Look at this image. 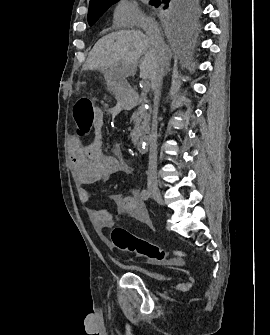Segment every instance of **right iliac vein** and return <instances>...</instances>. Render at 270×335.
I'll return each mask as SVG.
<instances>
[{
	"mask_svg": "<svg viewBox=\"0 0 270 335\" xmlns=\"http://www.w3.org/2000/svg\"><path fill=\"white\" fill-rule=\"evenodd\" d=\"M149 190V194L151 195V197L160 205H163V198L162 195L158 189L157 186L155 185H150L148 187Z\"/></svg>",
	"mask_w": 270,
	"mask_h": 335,
	"instance_id": "obj_1",
	"label": "right iliac vein"
}]
</instances>
